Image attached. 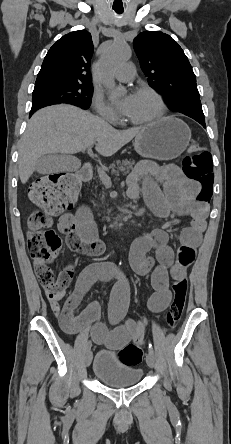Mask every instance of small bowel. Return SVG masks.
<instances>
[{
    "mask_svg": "<svg viewBox=\"0 0 231 444\" xmlns=\"http://www.w3.org/2000/svg\"><path fill=\"white\" fill-rule=\"evenodd\" d=\"M197 190L196 183L186 178L175 165L160 167L153 163H142L129 177L128 195L135 198L142 192L148 206L159 217L192 218L191 226L185 228L181 234V246L176 261L174 251L168 245L167 228L177 224V218H172L166 228L151 232L141 231L131 246L129 261L133 270L140 275L151 274L154 292L147 305L152 312H162L168 307L171 300L170 278L176 280L185 277L187 268L196 257L208 213L207 204L196 199ZM58 230L66 236L70 249L90 257L103 254L104 244L97 238L96 228L87 208H80L75 215H62L58 221ZM152 251L154 256L150 255ZM35 270L37 273L39 266L35 265ZM112 270V267L103 263L88 265L80 273L75 289L69 295L65 291L56 294L45 291V294L52 312L66 333L75 334L88 328L90 337L96 344L119 350L131 340H142L146 319H125L116 327L108 329L98 321L100 305L96 301L90 303L80 314L74 313L92 284L106 278ZM63 298L66 300L61 306L60 300ZM128 303V287L121 280L111 295L110 317L116 320L126 310Z\"/></svg>",
    "mask_w": 231,
    "mask_h": 444,
    "instance_id": "c3829d8e",
    "label": "small bowel"
}]
</instances>
